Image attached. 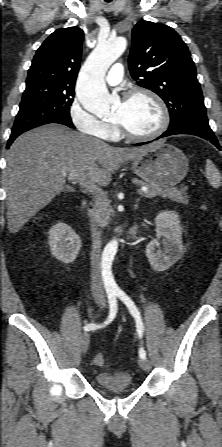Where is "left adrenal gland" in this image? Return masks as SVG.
<instances>
[{
    "label": "left adrenal gland",
    "instance_id": "left-adrenal-gland-1",
    "mask_svg": "<svg viewBox=\"0 0 222 447\" xmlns=\"http://www.w3.org/2000/svg\"><path fill=\"white\" fill-rule=\"evenodd\" d=\"M139 201H140V198H138V199L136 200V203H135V205H134V209H137V208H138Z\"/></svg>",
    "mask_w": 222,
    "mask_h": 447
}]
</instances>
